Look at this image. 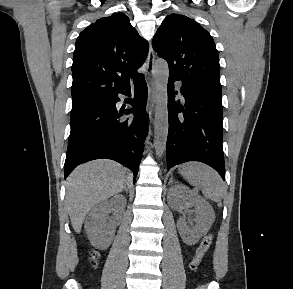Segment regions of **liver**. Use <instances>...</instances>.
I'll list each match as a JSON object with an SVG mask.
<instances>
[{
	"label": "liver",
	"instance_id": "1",
	"mask_svg": "<svg viewBox=\"0 0 293 289\" xmlns=\"http://www.w3.org/2000/svg\"><path fill=\"white\" fill-rule=\"evenodd\" d=\"M127 170L110 160H95L78 166L66 181L65 207L76 233L87 213L99 202L121 192Z\"/></svg>",
	"mask_w": 293,
	"mask_h": 289
}]
</instances>
